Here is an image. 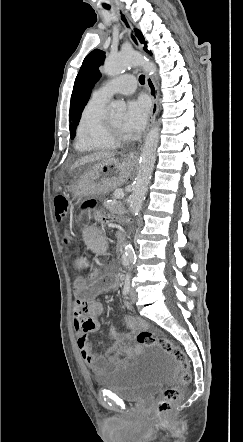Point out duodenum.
Returning <instances> with one entry per match:
<instances>
[{
    "mask_svg": "<svg viewBox=\"0 0 243 442\" xmlns=\"http://www.w3.org/2000/svg\"><path fill=\"white\" fill-rule=\"evenodd\" d=\"M121 237H122V235H121V233H119V234H118V238L121 239Z\"/></svg>",
    "mask_w": 243,
    "mask_h": 442,
    "instance_id": "410a0bca",
    "label": "duodenum"
}]
</instances>
